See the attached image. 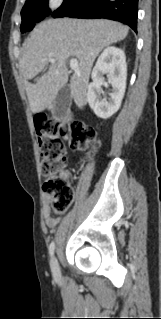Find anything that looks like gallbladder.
<instances>
[{
  "label": "gallbladder",
  "mask_w": 161,
  "mask_h": 319,
  "mask_svg": "<svg viewBox=\"0 0 161 319\" xmlns=\"http://www.w3.org/2000/svg\"><path fill=\"white\" fill-rule=\"evenodd\" d=\"M71 104V90L68 85L62 87L54 101V106L52 109L53 118L56 120H61L65 118L68 114V110Z\"/></svg>",
  "instance_id": "bac80fb5"
}]
</instances>
